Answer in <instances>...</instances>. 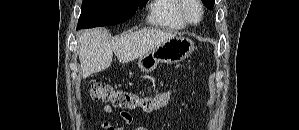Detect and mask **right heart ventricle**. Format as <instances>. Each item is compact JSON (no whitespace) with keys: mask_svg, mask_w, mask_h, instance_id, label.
Returning <instances> with one entry per match:
<instances>
[{"mask_svg":"<svg viewBox=\"0 0 299 130\" xmlns=\"http://www.w3.org/2000/svg\"><path fill=\"white\" fill-rule=\"evenodd\" d=\"M181 0H154L151 4L148 21L150 24L175 30L187 28L180 15Z\"/></svg>","mask_w":299,"mask_h":130,"instance_id":"right-heart-ventricle-1","label":"right heart ventricle"}]
</instances>
